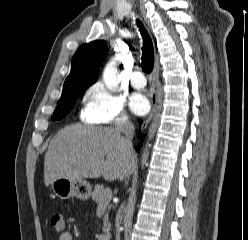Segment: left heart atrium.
I'll list each match as a JSON object with an SVG mask.
<instances>
[{"label":"left heart atrium","instance_id":"left-heart-atrium-1","mask_svg":"<svg viewBox=\"0 0 248 240\" xmlns=\"http://www.w3.org/2000/svg\"><path fill=\"white\" fill-rule=\"evenodd\" d=\"M130 109L136 115H143L149 109V102L141 93H134L130 98Z\"/></svg>","mask_w":248,"mask_h":240}]
</instances>
